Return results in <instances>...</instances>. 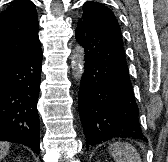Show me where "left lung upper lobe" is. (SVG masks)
I'll return each instance as SVG.
<instances>
[{"label": "left lung upper lobe", "mask_w": 168, "mask_h": 162, "mask_svg": "<svg viewBox=\"0 0 168 162\" xmlns=\"http://www.w3.org/2000/svg\"><path fill=\"white\" fill-rule=\"evenodd\" d=\"M81 18L95 22L122 40L120 27L114 13L105 5L92 1L85 2Z\"/></svg>", "instance_id": "left-lung-upper-lobe-1"}]
</instances>
